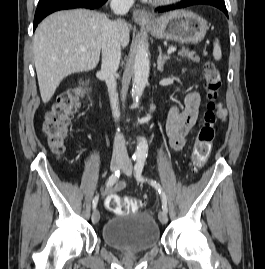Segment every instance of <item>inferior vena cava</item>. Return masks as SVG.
Returning a JSON list of instances; mask_svg holds the SVG:
<instances>
[{
  "instance_id": "inferior-vena-cava-1",
  "label": "inferior vena cava",
  "mask_w": 265,
  "mask_h": 269,
  "mask_svg": "<svg viewBox=\"0 0 265 269\" xmlns=\"http://www.w3.org/2000/svg\"><path fill=\"white\" fill-rule=\"evenodd\" d=\"M134 0H111L110 7L120 15L126 14L133 5ZM121 59V43L117 21H108L102 35V64L101 72L108 87L113 117L118 120V94L116 92L115 75ZM113 160H127L126 143L122 134L116 133L113 145Z\"/></svg>"
}]
</instances>
